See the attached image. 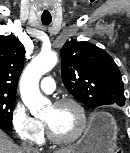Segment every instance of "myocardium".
<instances>
[{
  "mask_svg": "<svg viewBox=\"0 0 130 153\" xmlns=\"http://www.w3.org/2000/svg\"><path fill=\"white\" fill-rule=\"evenodd\" d=\"M63 105L73 106L79 114V119H80L79 127L74 135L70 137H60L53 131V129L51 128L48 122L43 120V123L46 128L48 137L51 139V141H53L54 143L60 144V145H67V144H72L78 141L83 136V134L85 133L87 129L88 118H87V114H86V111L83 105L77 100L73 98H61V99L56 100L53 103L54 107H59Z\"/></svg>",
  "mask_w": 130,
  "mask_h": 153,
  "instance_id": "myocardium-1",
  "label": "myocardium"
}]
</instances>
